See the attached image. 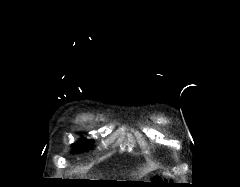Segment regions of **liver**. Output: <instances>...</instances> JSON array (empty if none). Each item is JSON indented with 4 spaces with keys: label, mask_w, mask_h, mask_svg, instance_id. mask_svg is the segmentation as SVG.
Returning <instances> with one entry per match:
<instances>
[{
    "label": "liver",
    "mask_w": 240,
    "mask_h": 187,
    "mask_svg": "<svg viewBox=\"0 0 240 187\" xmlns=\"http://www.w3.org/2000/svg\"><path fill=\"white\" fill-rule=\"evenodd\" d=\"M154 168H155L154 166L143 168L142 171H141V176H143V175L147 174L148 172L152 171Z\"/></svg>",
    "instance_id": "obj_1"
}]
</instances>
